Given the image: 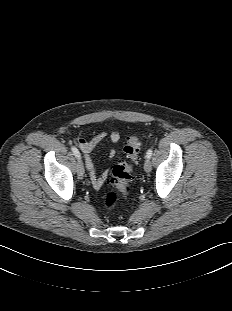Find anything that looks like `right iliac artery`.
Wrapping results in <instances>:
<instances>
[{
    "label": "right iliac artery",
    "mask_w": 232,
    "mask_h": 311,
    "mask_svg": "<svg viewBox=\"0 0 232 311\" xmlns=\"http://www.w3.org/2000/svg\"><path fill=\"white\" fill-rule=\"evenodd\" d=\"M72 152L74 153V155L80 159V152L78 151V149L74 146L71 147Z\"/></svg>",
    "instance_id": "1"
}]
</instances>
